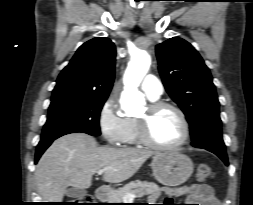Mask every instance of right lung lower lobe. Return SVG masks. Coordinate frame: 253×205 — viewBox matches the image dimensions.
I'll use <instances>...</instances> for the list:
<instances>
[{"mask_svg": "<svg viewBox=\"0 0 253 205\" xmlns=\"http://www.w3.org/2000/svg\"><path fill=\"white\" fill-rule=\"evenodd\" d=\"M69 134V133H67ZM65 134H61V135H57L54 137H47V138H42L39 142V144L37 145V149H36V154H35V163L38 162L39 158L41 157V155L43 154V152L50 146V144L57 138L63 136Z\"/></svg>", "mask_w": 253, "mask_h": 205, "instance_id": "1", "label": "right lung lower lobe"}]
</instances>
